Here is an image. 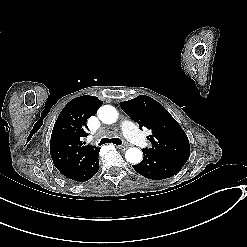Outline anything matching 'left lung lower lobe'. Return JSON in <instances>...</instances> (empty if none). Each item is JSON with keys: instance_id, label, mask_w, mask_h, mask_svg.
Wrapping results in <instances>:
<instances>
[{"instance_id": "left-lung-lower-lobe-1", "label": "left lung lower lobe", "mask_w": 247, "mask_h": 247, "mask_svg": "<svg viewBox=\"0 0 247 247\" xmlns=\"http://www.w3.org/2000/svg\"><path fill=\"white\" fill-rule=\"evenodd\" d=\"M142 151L144 154L143 160L139 164L133 165V168L148 179L161 180L172 177L183 167V164L161 154L146 149Z\"/></svg>"}]
</instances>
